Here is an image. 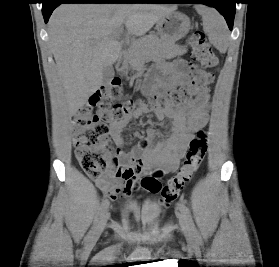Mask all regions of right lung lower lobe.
Wrapping results in <instances>:
<instances>
[{
    "label": "right lung lower lobe",
    "instance_id": "obj_1",
    "mask_svg": "<svg viewBox=\"0 0 279 267\" xmlns=\"http://www.w3.org/2000/svg\"><path fill=\"white\" fill-rule=\"evenodd\" d=\"M148 1L150 0H44L42 13L47 23L53 10L62 3H146Z\"/></svg>",
    "mask_w": 279,
    "mask_h": 267
}]
</instances>
